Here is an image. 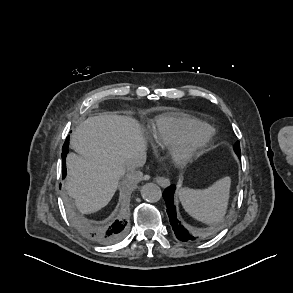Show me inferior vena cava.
I'll list each match as a JSON object with an SVG mask.
<instances>
[{
    "instance_id": "obj_1",
    "label": "inferior vena cava",
    "mask_w": 293,
    "mask_h": 293,
    "mask_svg": "<svg viewBox=\"0 0 293 293\" xmlns=\"http://www.w3.org/2000/svg\"><path fill=\"white\" fill-rule=\"evenodd\" d=\"M146 162V155L145 154H137L133 156L128 162H127V168L128 169H134V168H140L144 166Z\"/></svg>"
}]
</instances>
